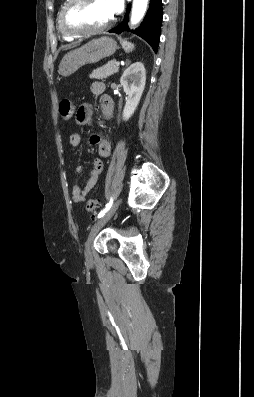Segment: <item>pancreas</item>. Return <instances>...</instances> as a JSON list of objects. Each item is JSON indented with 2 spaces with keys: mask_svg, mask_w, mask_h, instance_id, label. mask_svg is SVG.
Returning <instances> with one entry per match:
<instances>
[{
  "mask_svg": "<svg viewBox=\"0 0 254 397\" xmlns=\"http://www.w3.org/2000/svg\"><path fill=\"white\" fill-rule=\"evenodd\" d=\"M119 71V66H116L114 61H109L106 65L95 69L90 75V79H106Z\"/></svg>",
  "mask_w": 254,
  "mask_h": 397,
  "instance_id": "obj_1",
  "label": "pancreas"
}]
</instances>
